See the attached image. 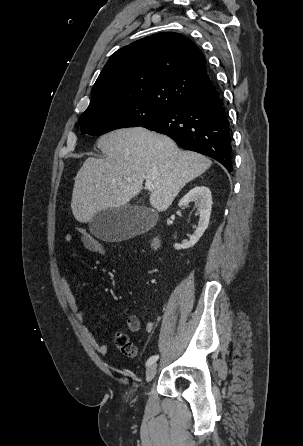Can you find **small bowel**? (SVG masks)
<instances>
[{"mask_svg": "<svg viewBox=\"0 0 303 446\" xmlns=\"http://www.w3.org/2000/svg\"><path fill=\"white\" fill-rule=\"evenodd\" d=\"M78 235H79V239H80L81 243L83 244V246L88 251L95 253V246H94L95 238L92 237L91 235L90 236H85V235H81V234H78ZM74 238H75V236L73 234H67L65 236V241L67 242V244H71L73 242ZM60 281H61L62 291H63L64 297L66 299V302L68 304V307L70 308V310L73 313L76 320H78L79 322H82L86 315V311L81 308L80 303H79L78 299L76 298L75 294L73 293L66 277L61 276ZM104 307H105V305L102 306V309ZM125 325L130 332H138L141 327L139 318L134 315L128 316L125 319ZM154 328H155L154 321L150 320L146 323V330L148 332L153 331ZM87 333L89 336V342H90L91 346L95 349V351H97L101 355L107 354L108 346L104 343L99 342L96 339L95 335L91 331H88Z\"/></svg>", "mask_w": 303, "mask_h": 446, "instance_id": "c3829d8e", "label": "small bowel"}]
</instances>
